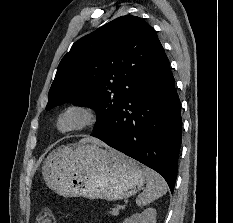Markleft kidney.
<instances>
[{
	"label": "left kidney",
	"instance_id": "obj_1",
	"mask_svg": "<svg viewBox=\"0 0 233 223\" xmlns=\"http://www.w3.org/2000/svg\"><path fill=\"white\" fill-rule=\"evenodd\" d=\"M157 211L154 207H147L141 213H133L130 217H126L123 223H156Z\"/></svg>",
	"mask_w": 233,
	"mask_h": 223
}]
</instances>
